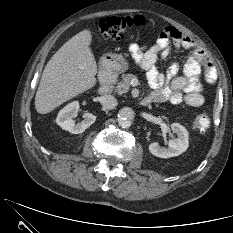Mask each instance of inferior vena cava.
<instances>
[{"label": "inferior vena cava", "instance_id": "1", "mask_svg": "<svg viewBox=\"0 0 233 233\" xmlns=\"http://www.w3.org/2000/svg\"><path fill=\"white\" fill-rule=\"evenodd\" d=\"M101 104L105 109H114L118 102L117 99L112 95H104L101 97Z\"/></svg>", "mask_w": 233, "mask_h": 233}]
</instances>
